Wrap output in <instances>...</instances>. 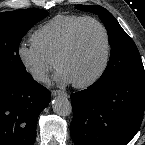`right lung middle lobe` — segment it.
<instances>
[{
	"mask_svg": "<svg viewBox=\"0 0 145 145\" xmlns=\"http://www.w3.org/2000/svg\"><path fill=\"white\" fill-rule=\"evenodd\" d=\"M47 15L46 10L32 8L0 13V83L27 77L19 44L28 30Z\"/></svg>",
	"mask_w": 145,
	"mask_h": 145,
	"instance_id": "1",
	"label": "right lung middle lobe"
}]
</instances>
